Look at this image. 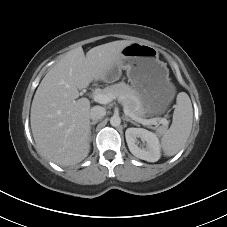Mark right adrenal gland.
<instances>
[{
    "instance_id": "2a0ac1e0",
    "label": "right adrenal gland",
    "mask_w": 227,
    "mask_h": 227,
    "mask_svg": "<svg viewBox=\"0 0 227 227\" xmlns=\"http://www.w3.org/2000/svg\"><path fill=\"white\" fill-rule=\"evenodd\" d=\"M97 122H98V121L96 120V121L90 122V124H89V141L92 140V132H91L92 126H93V125H96Z\"/></svg>"
}]
</instances>
